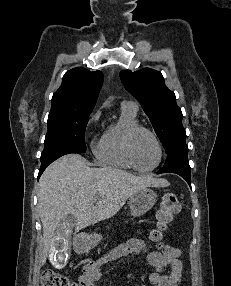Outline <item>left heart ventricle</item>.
<instances>
[{"label":"left heart ventricle","instance_id":"1","mask_svg":"<svg viewBox=\"0 0 231 286\" xmlns=\"http://www.w3.org/2000/svg\"><path fill=\"white\" fill-rule=\"evenodd\" d=\"M132 151L137 165L141 168H151L158 161L157 145L148 133L141 132L135 137Z\"/></svg>","mask_w":231,"mask_h":286}]
</instances>
